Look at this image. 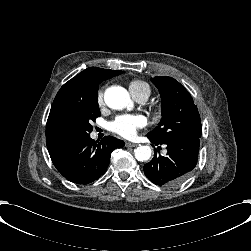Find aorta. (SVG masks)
Listing matches in <instances>:
<instances>
[{
	"mask_svg": "<svg viewBox=\"0 0 251 251\" xmlns=\"http://www.w3.org/2000/svg\"><path fill=\"white\" fill-rule=\"evenodd\" d=\"M105 102L107 105L116 110L133 107L134 101L131 99L128 91L121 87H111L106 91ZM135 158L139 161L150 159L152 149L148 145H141L135 149Z\"/></svg>",
	"mask_w": 251,
	"mask_h": 251,
	"instance_id": "1",
	"label": "aorta"
}]
</instances>
